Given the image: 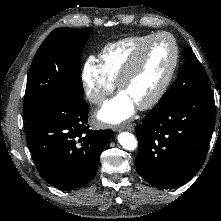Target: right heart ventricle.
I'll use <instances>...</instances> for the list:
<instances>
[{
	"label": "right heart ventricle",
	"instance_id": "right-heart-ventricle-1",
	"mask_svg": "<svg viewBox=\"0 0 221 221\" xmlns=\"http://www.w3.org/2000/svg\"><path fill=\"white\" fill-rule=\"evenodd\" d=\"M152 35L126 37L109 43L102 49L99 54L100 66L110 80L117 82L132 55Z\"/></svg>",
	"mask_w": 221,
	"mask_h": 221
}]
</instances>
